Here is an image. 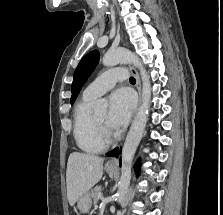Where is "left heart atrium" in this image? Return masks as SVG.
<instances>
[{"label": "left heart atrium", "instance_id": "39dd6f15", "mask_svg": "<svg viewBox=\"0 0 223 215\" xmlns=\"http://www.w3.org/2000/svg\"><path fill=\"white\" fill-rule=\"evenodd\" d=\"M109 111L107 113V124L112 129L125 126L134 108V98L131 92L122 88L115 91L109 98Z\"/></svg>", "mask_w": 223, "mask_h": 215}]
</instances>
